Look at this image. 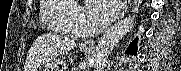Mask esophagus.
Wrapping results in <instances>:
<instances>
[{"label": "esophagus", "mask_w": 181, "mask_h": 71, "mask_svg": "<svg viewBox=\"0 0 181 71\" xmlns=\"http://www.w3.org/2000/svg\"><path fill=\"white\" fill-rule=\"evenodd\" d=\"M130 2H131V0H125L124 1L122 11H121V13H120V15L118 17V20H120V19H122L124 17L125 13L127 12V9H128V6H129ZM95 43H96L95 40L89 39V40L85 41L84 43H82V45L84 47L94 48Z\"/></svg>", "instance_id": "esophagus-1"}]
</instances>
